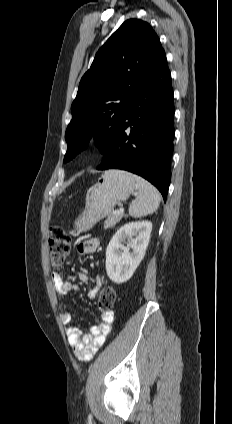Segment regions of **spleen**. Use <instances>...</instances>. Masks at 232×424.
Masks as SVG:
<instances>
[{
	"label": "spleen",
	"mask_w": 232,
	"mask_h": 424,
	"mask_svg": "<svg viewBox=\"0 0 232 424\" xmlns=\"http://www.w3.org/2000/svg\"><path fill=\"white\" fill-rule=\"evenodd\" d=\"M138 186V196L129 206L132 217H142L154 213L160 204L161 197L158 190L148 181L138 175H133Z\"/></svg>",
	"instance_id": "3e777b00"
}]
</instances>
